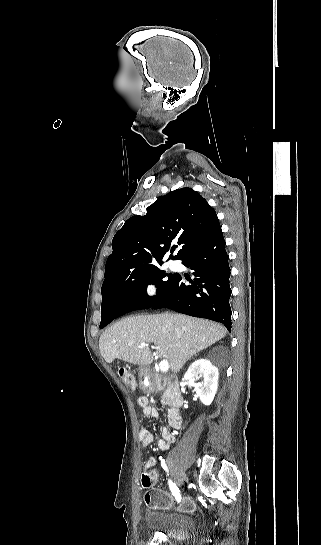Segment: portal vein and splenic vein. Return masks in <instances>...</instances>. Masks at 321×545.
I'll use <instances>...</instances> for the list:
<instances>
[{"label":"portal vein and splenic vein","mask_w":321,"mask_h":545,"mask_svg":"<svg viewBox=\"0 0 321 545\" xmlns=\"http://www.w3.org/2000/svg\"><path fill=\"white\" fill-rule=\"evenodd\" d=\"M140 347H147V345L146 343H141ZM159 369L162 371V373H167L169 369L168 361H161V363H159Z\"/></svg>","instance_id":"18ae733b"}]
</instances>
